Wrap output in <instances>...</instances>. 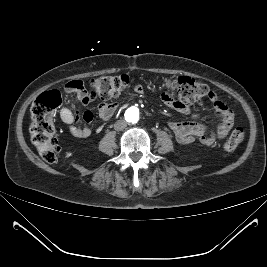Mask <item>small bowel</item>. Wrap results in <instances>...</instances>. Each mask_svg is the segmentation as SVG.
<instances>
[{
  "label": "small bowel",
  "instance_id": "c3829d8e",
  "mask_svg": "<svg viewBox=\"0 0 267 267\" xmlns=\"http://www.w3.org/2000/svg\"><path fill=\"white\" fill-rule=\"evenodd\" d=\"M142 90L140 85L135 86L136 92L141 93ZM65 91L69 94H74L76 99L84 105L88 104L91 100L86 87L80 80L69 81L65 85ZM162 99L174 111L181 114H190V108L185 103L175 100L168 91L163 90ZM211 101L216 114L221 118L216 128L214 130H209L197 120L196 116H193L191 121L170 122L169 127L179 143L188 144L198 140L203 145L212 146L217 140L227 135L234 124V113L229 106L220 101L215 95H213ZM115 109V104L103 103L98 107V114L102 120H108L114 114ZM59 115L62 122L68 126L71 135L76 138H86L90 136L91 129L89 127L76 125L78 115L72 109L63 106L59 111ZM83 118L86 122L90 123L93 120L92 111L85 110Z\"/></svg>",
  "mask_w": 267,
  "mask_h": 267
}]
</instances>
